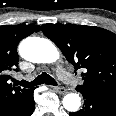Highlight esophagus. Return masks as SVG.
Instances as JSON below:
<instances>
[{"mask_svg":"<svg viewBox=\"0 0 116 116\" xmlns=\"http://www.w3.org/2000/svg\"><path fill=\"white\" fill-rule=\"evenodd\" d=\"M53 89L59 94H65L67 92V89L62 86H53Z\"/></svg>","mask_w":116,"mask_h":116,"instance_id":"1","label":"esophagus"}]
</instances>
